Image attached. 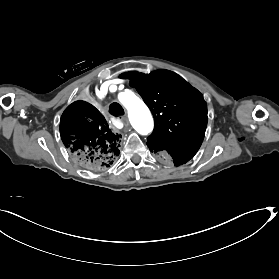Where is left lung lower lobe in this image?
I'll list each match as a JSON object with an SVG mask.
<instances>
[{
	"label": "left lung lower lobe",
	"instance_id": "1",
	"mask_svg": "<svg viewBox=\"0 0 279 279\" xmlns=\"http://www.w3.org/2000/svg\"><path fill=\"white\" fill-rule=\"evenodd\" d=\"M151 152L159 153L160 151H155L153 148H149ZM196 153L190 152H164V156L171 159L175 166L182 165L188 162Z\"/></svg>",
	"mask_w": 279,
	"mask_h": 279
}]
</instances>
